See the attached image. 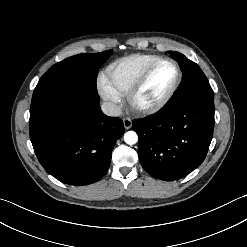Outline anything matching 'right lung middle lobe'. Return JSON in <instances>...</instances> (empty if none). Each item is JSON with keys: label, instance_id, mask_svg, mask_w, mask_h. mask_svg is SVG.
<instances>
[{"label": "right lung middle lobe", "instance_id": "dd1d6c3e", "mask_svg": "<svg viewBox=\"0 0 247 247\" xmlns=\"http://www.w3.org/2000/svg\"><path fill=\"white\" fill-rule=\"evenodd\" d=\"M111 53L80 54L53 65L33 92L30 113L64 97L86 96L99 101L97 71Z\"/></svg>", "mask_w": 247, "mask_h": 247}]
</instances>
